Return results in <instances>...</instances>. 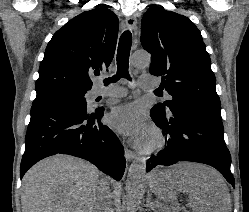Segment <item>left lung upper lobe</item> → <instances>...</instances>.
<instances>
[{"label":"left lung upper lobe","instance_id":"1","mask_svg":"<svg viewBox=\"0 0 249 212\" xmlns=\"http://www.w3.org/2000/svg\"><path fill=\"white\" fill-rule=\"evenodd\" d=\"M141 42L151 54L150 73L162 76V90L172 96L157 108L168 112L180 104H193L221 109L209 54L189 18L152 6L142 18Z\"/></svg>","mask_w":249,"mask_h":212}]
</instances>
